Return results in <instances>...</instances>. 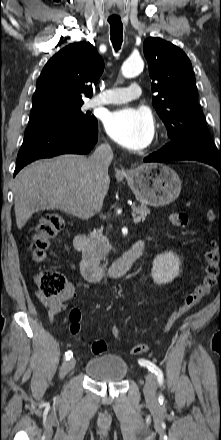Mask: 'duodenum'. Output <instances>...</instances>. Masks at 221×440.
<instances>
[{
	"label": "duodenum",
	"instance_id": "1",
	"mask_svg": "<svg viewBox=\"0 0 221 440\" xmlns=\"http://www.w3.org/2000/svg\"><path fill=\"white\" fill-rule=\"evenodd\" d=\"M87 245V236L83 233L77 234L74 238V248L81 252L85 250ZM144 249L143 240H137L126 251V253L106 269L100 267L95 261L88 256L81 259L79 263L80 273L84 279L96 282L102 279H117L126 274L135 260L140 256Z\"/></svg>",
	"mask_w": 221,
	"mask_h": 440
}]
</instances>
